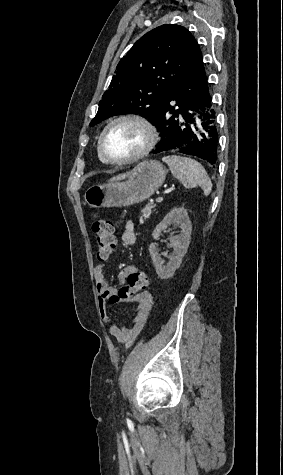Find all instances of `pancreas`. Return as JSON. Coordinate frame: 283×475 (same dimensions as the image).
I'll return each instance as SVG.
<instances>
[{
	"instance_id": "obj_1",
	"label": "pancreas",
	"mask_w": 283,
	"mask_h": 475,
	"mask_svg": "<svg viewBox=\"0 0 283 475\" xmlns=\"http://www.w3.org/2000/svg\"><path fill=\"white\" fill-rule=\"evenodd\" d=\"M152 208H154V204H146L145 208L141 210L142 216L139 220L140 224H143L144 220H147V218H149Z\"/></svg>"
}]
</instances>
